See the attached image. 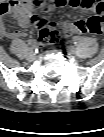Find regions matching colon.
I'll list each match as a JSON object with an SVG mask.
<instances>
[{"instance_id":"1","label":"colon","mask_w":104,"mask_h":137,"mask_svg":"<svg viewBox=\"0 0 104 137\" xmlns=\"http://www.w3.org/2000/svg\"><path fill=\"white\" fill-rule=\"evenodd\" d=\"M102 22V17L94 16L89 22L92 27L88 26L87 30L96 33L95 35L102 34V30L97 32L98 29H101ZM38 27L40 28L39 40L43 44L57 43L65 34V29L63 27H55L42 23H39Z\"/></svg>"}]
</instances>
